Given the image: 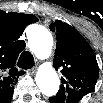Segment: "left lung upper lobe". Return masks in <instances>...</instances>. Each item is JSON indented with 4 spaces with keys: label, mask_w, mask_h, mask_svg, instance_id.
<instances>
[{
    "label": "left lung upper lobe",
    "mask_w": 103,
    "mask_h": 103,
    "mask_svg": "<svg viewBox=\"0 0 103 103\" xmlns=\"http://www.w3.org/2000/svg\"><path fill=\"white\" fill-rule=\"evenodd\" d=\"M50 29L57 35L54 67L63 75L60 90L50 102L71 103L69 92L86 95L93 91L99 67L90 45L72 26L57 20Z\"/></svg>",
    "instance_id": "5c2ea615"
}]
</instances>
